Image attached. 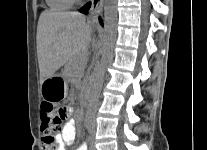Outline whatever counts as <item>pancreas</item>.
Instances as JSON below:
<instances>
[{
    "label": "pancreas",
    "instance_id": "obj_1",
    "mask_svg": "<svg viewBox=\"0 0 207 150\" xmlns=\"http://www.w3.org/2000/svg\"><path fill=\"white\" fill-rule=\"evenodd\" d=\"M87 62V58L85 55H81L74 59L72 64L68 67L66 71H64V76L70 75L77 77L81 74L83 68L85 67Z\"/></svg>",
    "mask_w": 207,
    "mask_h": 150
}]
</instances>
